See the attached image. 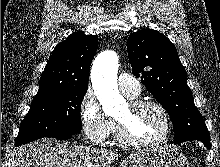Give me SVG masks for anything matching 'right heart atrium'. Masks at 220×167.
<instances>
[{
    "label": "right heart atrium",
    "mask_w": 220,
    "mask_h": 167,
    "mask_svg": "<svg viewBox=\"0 0 220 167\" xmlns=\"http://www.w3.org/2000/svg\"><path fill=\"white\" fill-rule=\"evenodd\" d=\"M79 120L83 134L94 144L103 143L114 128V122L104 113L91 89H88L81 98Z\"/></svg>",
    "instance_id": "obj_1"
}]
</instances>
